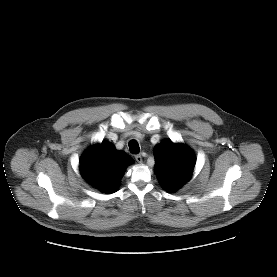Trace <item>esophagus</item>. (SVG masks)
<instances>
[{
  "instance_id": "1",
  "label": "esophagus",
  "mask_w": 277,
  "mask_h": 277,
  "mask_svg": "<svg viewBox=\"0 0 277 277\" xmlns=\"http://www.w3.org/2000/svg\"><path fill=\"white\" fill-rule=\"evenodd\" d=\"M135 160H136L138 163H141V162H142V156H141L140 154L135 155Z\"/></svg>"
}]
</instances>
